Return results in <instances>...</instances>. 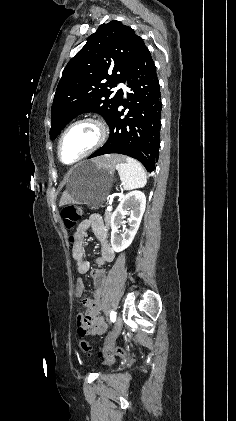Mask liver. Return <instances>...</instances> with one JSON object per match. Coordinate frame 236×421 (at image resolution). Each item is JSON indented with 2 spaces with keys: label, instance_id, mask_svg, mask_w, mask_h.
Wrapping results in <instances>:
<instances>
[{
  "label": "liver",
  "instance_id": "liver-1",
  "mask_svg": "<svg viewBox=\"0 0 236 421\" xmlns=\"http://www.w3.org/2000/svg\"><path fill=\"white\" fill-rule=\"evenodd\" d=\"M93 160L94 162H98V164H103V166H114L116 162L122 160V156L121 154H103V156H98V158H93ZM68 202H72V198L68 190H64L60 198L59 206H62V204H68Z\"/></svg>",
  "mask_w": 236,
  "mask_h": 421
}]
</instances>
